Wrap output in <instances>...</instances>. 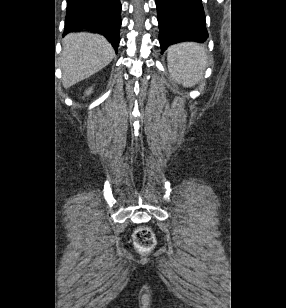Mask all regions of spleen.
<instances>
[{"label": "spleen", "mask_w": 286, "mask_h": 308, "mask_svg": "<svg viewBox=\"0 0 286 308\" xmlns=\"http://www.w3.org/2000/svg\"><path fill=\"white\" fill-rule=\"evenodd\" d=\"M167 61L172 79L187 88L200 81L208 66L207 51L194 42H183L169 47Z\"/></svg>", "instance_id": "1"}]
</instances>
